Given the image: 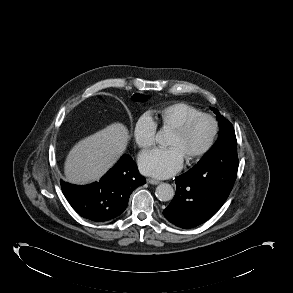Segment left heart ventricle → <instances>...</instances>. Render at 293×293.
Segmentation results:
<instances>
[{"mask_svg": "<svg viewBox=\"0 0 293 293\" xmlns=\"http://www.w3.org/2000/svg\"><path fill=\"white\" fill-rule=\"evenodd\" d=\"M212 124L207 119L200 120L184 137L173 133L169 141L170 147H176L186 158L198 152L211 136Z\"/></svg>", "mask_w": 293, "mask_h": 293, "instance_id": "left-heart-ventricle-1", "label": "left heart ventricle"}]
</instances>
